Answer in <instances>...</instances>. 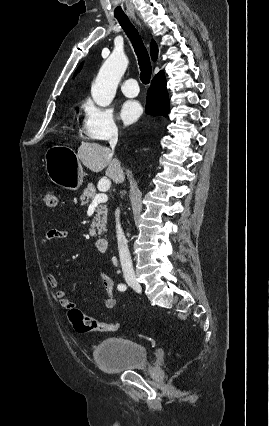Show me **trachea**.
Here are the masks:
<instances>
[{
    "mask_svg": "<svg viewBox=\"0 0 269 426\" xmlns=\"http://www.w3.org/2000/svg\"><path fill=\"white\" fill-rule=\"evenodd\" d=\"M119 24L126 32L127 36L132 42L135 53L138 58V63L140 67V79L143 84H148L151 77L152 67L150 62V57L147 52L146 47L137 31V29L133 26L130 20L127 17L117 18Z\"/></svg>",
    "mask_w": 269,
    "mask_h": 426,
    "instance_id": "1",
    "label": "trachea"
}]
</instances>
